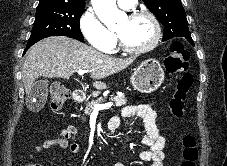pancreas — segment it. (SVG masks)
Here are the masks:
<instances>
[{
    "label": "pancreas",
    "instance_id": "1",
    "mask_svg": "<svg viewBox=\"0 0 227 166\" xmlns=\"http://www.w3.org/2000/svg\"><path fill=\"white\" fill-rule=\"evenodd\" d=\"M110 100L114 101L115 105L118 106V107L124 106L127 102V99L124 96H111ZM103 101L104 100L102 98H98L95 101L93 100V101L87 102L84 113L87 114V115L91 114V112L94 110V105L95 104H102Z\"/></svg>",
    "mask_w": 227,
    "mask_h": 166
}]
</instances>
